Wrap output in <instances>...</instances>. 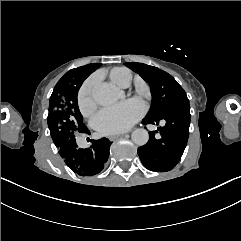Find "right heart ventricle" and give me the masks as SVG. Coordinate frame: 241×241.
<instances>
[{
  "instance_id": "1",
  "label": "right heart ventricle",
  "mask_w": 241,
  "mask_h": 241,
  "mask_svg": "<svg viewBox=\"0 0 241 241\" xmlns=\"http://www.w3.org/2000/svg\"><path fill=\"white\" fill-rule=\"evenodd\" d=\"M110 78L117 85L127 87L131 82L132 73L127 68L115 67L110 71Z\"/></svg>"
}]
</instances>
